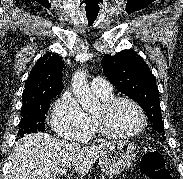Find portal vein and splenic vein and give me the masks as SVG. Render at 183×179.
Wrapping results in <instances>:
<instances>
[{
  "mask_svg": "<svg viewBox=\"0 0 183 179\" xmlns=\"http://www.w3.org/2000/svg\"><path fill=\"white\" fill-rule=\"evenodd\" d=\"M59 173H60L61 176H64L67 173V169H62V170H60Z\"/></svg>",
  "mask_w": 183,
  "mask_h": 179,
  "instance_id": "1",
  "label": "portal vein and splenic vein"
}]
</instances>
